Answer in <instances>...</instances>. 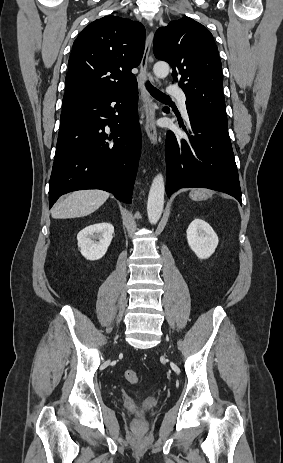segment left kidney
<instances>
[{
    "mask_svg": "<svg viewBox=\"0 0 283 463\" xmlns=\"http://www.w3.org/2000/svg\"><path fill=\"white\" fill-rule=\"evenodd\" d=\"M187 242L199 259H207L215 252L219 240L207 222L196 218L188 226Z\"/></svg>",
    "mask_w": 283,
    "mask_h": 463,
    "instance_id": "obj_1",
    "label": "left kidney"
}]
</instances>
